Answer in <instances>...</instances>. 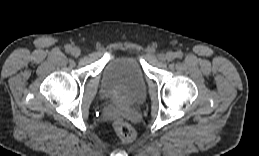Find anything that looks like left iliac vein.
I'll return each mask as SVG.
<instances>
[{"label": "left iliac vein", "instance_id": "left-iliac-vein-1", "mask_svg": "<svg viewBox=\"0 0 259 156\" xmlns=\"http://www.w3.org/2000/svg\"><path fill=\"white\" fill-rule=\"evenodd\" d=\"M176 55L174 52H167L166 55H165V59L167 61H173L175 59Z\"/></svg>", "mask_w": 259, "mask_h": 156}]
</instances>
